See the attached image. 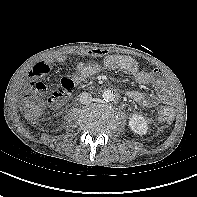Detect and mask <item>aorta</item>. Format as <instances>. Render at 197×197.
<instances>
[{"label": "aorta", "instance_id": "aorta-1", "mask_svg": "<svg viewBox=\"0 0 197 197\" xmlns=\"http://www.w3.org/2000/svg\"><path fill=\"white\" fill-rule=\"evenodd\" d=\"M102 97H103V100H105L106 102H110L114 100L115 94L113 90L107 89L103 92Z\"/></svg>", "mask_w": 197, "mask_h": 197}]
</instances>
